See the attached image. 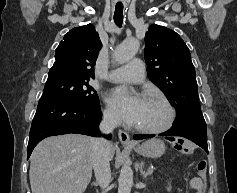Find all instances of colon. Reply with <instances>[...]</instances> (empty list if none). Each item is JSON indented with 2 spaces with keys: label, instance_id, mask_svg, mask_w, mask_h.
Here are the masks:
<instances>
[{
  "label": "colon",
  "instance_id": "obj_1",
  "mask_svg": "<svg viewBox=\"0 0 237 193\" xmlns=\"http://www.w3.org/2000/svg\"><path fill=\"white\" fill-rule=\"evenodd\" d=\"M172 147L183 154H191L193 153V145L190 141L181 138V137H173L169 140ZM198 177L203 182V189L205 188L204 182L206 179V170H207V163L205 160H199L196 165Z\"/></svg>",
  "mask_w": 237,
  "mask_h": 193
}]
</instances>
